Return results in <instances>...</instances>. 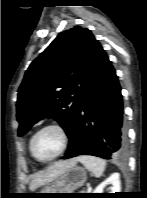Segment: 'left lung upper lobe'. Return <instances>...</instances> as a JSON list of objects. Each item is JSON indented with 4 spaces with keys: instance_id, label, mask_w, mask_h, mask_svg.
<instances>
[{
    "instance_id": "1",
    "label": "left lung upper lobe",
    "mask_w": 147,
    "mask_h": 198,
    "mask_svg": "<svg viewBox=\"0 0 147 198\" xmlns=\"http://www.w3.org/2000/svg\"><path fill=\"white\" fill-rule=\"evenodd\" d=\"M97 40L89 29L63 31L36 58L18 90V135L43 118L71 133L91 70Z\"/></svg>"
}]
</instances>
